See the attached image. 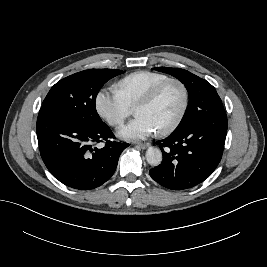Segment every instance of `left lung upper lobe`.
Wrapping results in <instances>:
<instances>
[{
  "label": "left lung upper lobe",
  "instance_id": "5c2ea615",
  "mask_svg": "<svg viewBox=\"0 0 267 267\" xmlns=\"http://www.w3.org/2000/svg\"><path fill=\"white\" fill-rule=\"evenodd\" d=\"M154 69L176 77L187 88L189 106L181 124L175 131L186 129L196 122H200L205 111L226 115L219 95L206 80L180 68L155 67Z\"/></svg>",
  "mask_w": 267,
  "mask_h": 267
}]
</instances>
